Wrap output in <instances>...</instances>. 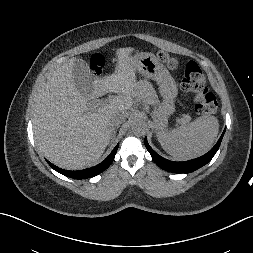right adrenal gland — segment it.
<instances>
[{"label":"right adrenal gland","mask_w":253,"mask_h":253,"mask_svg":"<svg viewBox=\"0 0 253 253\" xmlns=\"http://www.w3.org/2000/svg\"><path fill=\"white\" fill-rule=\"evenodd\" d=\"M116 131H117V129H116V128H113L111 140H113V138H115V136H116Z\"/></svg>","instance_id":"2a0ac1e0"}]
</instances>
